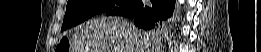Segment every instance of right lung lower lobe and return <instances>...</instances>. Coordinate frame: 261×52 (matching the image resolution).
<instances>
[{
  "mask_svg": "<svg viewBox=\"0 0 261 52\" xmlns=\"http://www.w3.org/2000/svg\"><path fill=\"white\" fill-rule=\"evenodd\" d=\"M151 6H143L141 0H125L119 8L109 9L106 15H121L134 20L136 26L152 29L164 23L173 14L175 0H151Z\"/></svg>",
  "mask_w": 261,
  "mask_h": 52,
  "instance_id": "1",
  "label": "right lung lower lobe"
}]
</instances>
